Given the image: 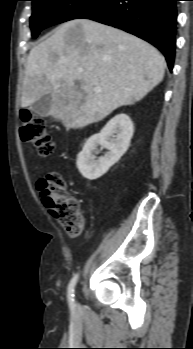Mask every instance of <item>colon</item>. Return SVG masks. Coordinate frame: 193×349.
<instances>
[{
	"label": "colon",
	"mask_w": 193,
	"mask_h": 349,
	"mask_svg": "<svg viewBox=\"0 0 193 349\" xmlns=\"http://www.w3.org/2000/svg\"><path fill=\"white\" fill-rule=\"evenodd\" d=\"M20 119L22 140L31 142L40 155H50L54 145L42 119L27 110L21 111ZM38 187L51 215L69 235H79L84 226L80 204L68 193L63 177L57 172H49L40 179Z\"/></svg>",
	"instance_id": "obj_1"
}]
</instances>
